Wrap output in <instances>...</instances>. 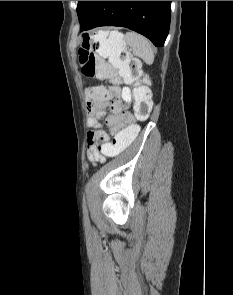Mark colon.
Masks as SVG:
<instances>
[{"label": "colon", "instance_id": "obj_1", "mask_svg": "<svg viewBox=\"0 0 233 295\" xmlns=\"http://www.w3.org/2000/svg\"><path fill=\"white\" fill-rule=\"evenodd\" d=\"M79 62L83 75L100 80H110L113 86H90L86 89L87 97H101L108 92L116 94L121 82L133 83L134 111L138 121H146L152 109L151 93L148 87L139 83L140 62L127 50L123 35L115 31L86 33L78 50ZM139 126L130 124L115 133L109 144L97 147L107 156H116L133 144L139 135Z\"/></svg>", "mask_w": 233, "mask_h": 295}]
</instances>
